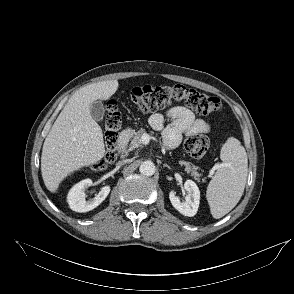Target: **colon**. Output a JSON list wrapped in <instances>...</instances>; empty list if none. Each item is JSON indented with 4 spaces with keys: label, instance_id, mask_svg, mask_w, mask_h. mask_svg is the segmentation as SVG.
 Masks as SVG:
<instances>
[{
    "label": "colon",
    "instance_id": "1",
    "mask_svg": "<svg viewBox=\"0 0 294 294\" xmlns=\"http://www.w3.org/2000/svg\"><path fill=\"white\" fill-rule=\"evenodd\" d=\"M131 100L143 113L155 112L173 102H183L200 114H210L222 108V102L218 97L181 84L135 87L131 92ZM120 126L121 116L118 107L115 102H110L105 119L106 152L96 165L97 169H102L114 161ZM184 146L191 157L201 158L209 148V139L202 134H192L186 138Z\"/></svg>",
    "mask_w": 294,
    "mask_h": 294
}]
</instances>
